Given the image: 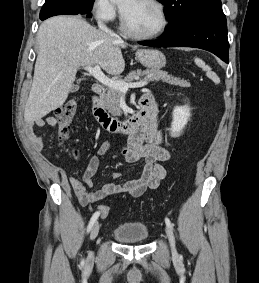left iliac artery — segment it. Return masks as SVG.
Wrapping results in <instances>:
<instances>
[{"mask_svg":"<svg viewBox=\"0 0 259 283\" xmlns=\"http://www.w3.org/2000/svg\"><path fill=\"white\" fill-rule=\"evenodd\" d=\"M165 223L168 227L173 228V224L171 223V221L169 220V218H165Z\"/></svg>","mask_w":259,"mask_h":283,"instance_id":"obj_1","label":"left iliac artery"}]
</instances>
